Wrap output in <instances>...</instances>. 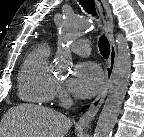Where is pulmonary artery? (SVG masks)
<instances>
[{
  "label": "pulmonary artery",
  "mask_w": 144,
  "mask_h": 137,
  "mask_svg": "<svg viewBox=\"0 0 144 137\" xmlns=\"http://www.w3.org/2000/svg\"><path fill=\"white\" fill-rule=\"evenodd\" d=\"M72 52L79 56H88L91 52L90 42L85 39H78L70 45Z\"/></svg>",
  "instance_id": "1"
}]
</instances>
